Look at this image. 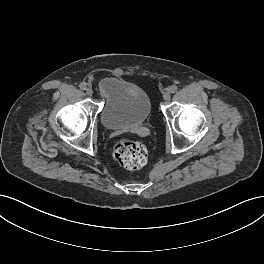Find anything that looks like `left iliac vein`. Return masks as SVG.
<instances>
[{
  "instance_id": "4c4485c4",
  "label": "left iliac vein",
  "mask_w": 264,
  "mask_h": 264,
  "mask_svg": "<svg viewBox=\"0 0 264 264\" xmlns=\"http://www.w3.org/2000/svg\"><path fill=\"white\" fill-rule=\"evenodd\" d=\"M170 98H171V94H170V92H169V91L165 92L164 95H163V99H164L165 101H169Z\"/></svg>"
}]
</instances>
